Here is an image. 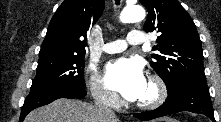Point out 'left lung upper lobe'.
Segmentation results:
<instances>
[{
    "instance_id": "5c2ea615",
    "label": "left lung upper lobe",
    "mask_w": 221,
    "mask_h": 122,
    "mask_svg": "<svg viewBox=\"0 0 221 122\" xmlns=\"http://www.w3.org/2000/svg\"><path fill=\"white\" fill-rule=\"evenodd\" d=\"M148 10L146 32L157 31L152 68L168 91L187 80L206 81L199 34L190 15L177 0H140Z\"/></svg>"
}]
</instances>
